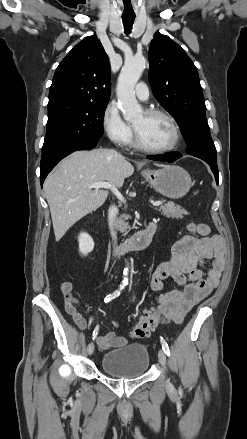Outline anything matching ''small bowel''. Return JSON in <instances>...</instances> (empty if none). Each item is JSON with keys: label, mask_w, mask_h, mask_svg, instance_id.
Returning <instances> with one entry per match:
<instances>
[{"label": "small bowel", "mask_w": 247, "mask_h": 439, "mask_svg": "<svg viewBox=\"0 0 247 439\" xmlns=\"http://www.w3.org/2000/svg\"><path fill=\"white\" fill-rule=\"evenodd\" d=\"M200 237L184 235L171 249L169 261L159 264L150 280L153 291L159 292L163 288V281L172 278L177 284L183 286L181 290H171L156 296L157 309L162 313V323L180 324L187 313L202 299L208 296L217 287L222 271L225 267L224 242L220 236H210V228L200 224ZM208 260H212L211 267L206 276L202 267ZM74 284L64 281L60 290L63 297L65 310L79 329L86 327V320L77 307H83L73 295ZM115 327H119L113 321ZM128 339L118 336L114 332H107L98 337L97 345L101 350L122 347Z\"/></svg>", "instance_id": "small-bowel-1"}]
</instances>
